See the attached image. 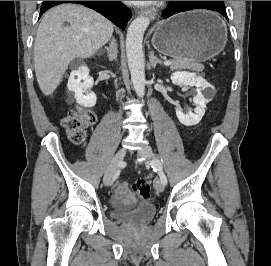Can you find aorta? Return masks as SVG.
Wrapping results in <instances>:
<instances>
[{"label":"aorta","instance_id":"762f6f07","mask_svg":"<svg viewBox=\"0 0 271 266\" xmlns=\"http://www.w3.org/2000/svg\"><path fill=\"white\" fill-rule=\"evenodd\" d=\"M150 23L146 16L134 19L127 30L126 54L128 67L131 74V81L135 92L139 97L145 94V63L142 50L144 33Z\"/></svg>","mask_w":271,"mask_h":266}]
</instances>
